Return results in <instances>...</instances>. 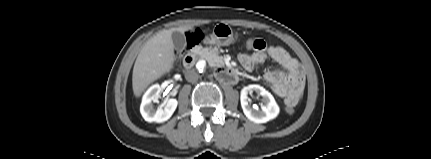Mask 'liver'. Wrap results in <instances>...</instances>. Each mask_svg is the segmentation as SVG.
Masks as SVG:
<instances>
[{"mask_svg":"<svg viewBox=\"0 0 431 159\" xmlns=\"http://www.w3.org/2000/svg\"><path fill=\"white\" fill-rule=\"evenodd\" d=\"M192 26L166 29L158 32L142 47L133 68L132 87L136 97H140L146 88L173 68L175 47L172 33H184Z\"/></svg>","mask_w":431,"mask_h":159,"instance_id":"6515ba94","label":"liver"}]
</instances>
